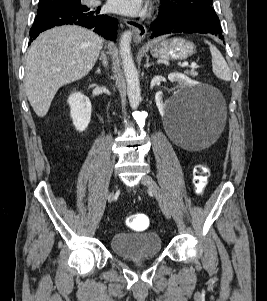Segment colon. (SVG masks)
<instances>
[{
	"label": "colon",
	"instance_id": "colon-1",
	"mask_svg": "<svg viewBox=\"0 0 267 301\" xmlns=\"http://www.w3.org/2000/svg\"><path fill=\"white\" fill-rule=\"evenodd\" d=\"M209 169L204 165H198L194 172V185L196 192L200 194L207 184ZM127 225L136 231H143L149 226V218L143 213H135L128 217Z\"/></svg>",
	"mask_w": 267,
	"mask_h": 301
}]
</instances>
